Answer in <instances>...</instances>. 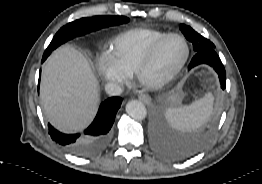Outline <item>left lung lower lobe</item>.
I'll use <instances>...</instances> for the list:
<instances>
[{
	"mask_svg": "<svg viewBox=\"0 0 262 184\" xmlns=\"http://www.w3.org/2000/svg\"><path fill=\"white\" fill-rule=\"evenodd\" d=\"M203 63L215 69L219 76L221 88L224 90L226 87V73L214 49L196 52L189 64V69ZM148 132L153 151L160 157L170 161L184 160L193 157L202 151L210 140V134L207 133L189 137L178 135L172 130L164 118L163 113L159 110L151 114Z\"/></svg>",
	"mask_w": 262,
	"mask_h": 184,
	"instance_id": "0a47b994",
	"label": "left lung lower lobe"
}]
</instances>
